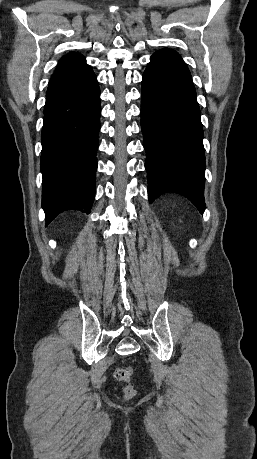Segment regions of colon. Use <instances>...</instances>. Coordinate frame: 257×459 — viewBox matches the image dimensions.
<instances>
[{"instance_id": "1", "label": "colon", "mask_w": 257, "mask_h": 459, "mask_svg": "<svg viewBox=\"0 0 257 459\" xmlns=\"http://www.w3.org/2000/svg\"><path fill=\"white\" fill-rule=\"evenodd\" d=\"M114 378L117 381H126L127 385L124 387V396L130 399L135 396L136 390L130 381V374L123 368H117L114 371Z\"/></svg>"}]
</instances>
